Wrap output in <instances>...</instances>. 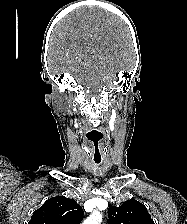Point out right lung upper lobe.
Instances as JSON below:
<instances>
[{
    "label": "right lung upper lobe",
    "mask_w": 187,
    "mask_h": 224,
    "mask_svg": "<svg viewBox=\"0 0 187 224\" xmlns=\"http://www.w3.org/2000/svg\"><path fill=\"white\" fill-rule=\"evenodd\" d=\"M84 211L73 199L57 196L33 212L28 224H80Z\"/></svg>",
    "instance_id": "cb5924a9"
}]
</instances>
